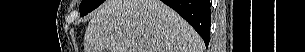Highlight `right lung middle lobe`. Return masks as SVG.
<instances>
[{"label":"right lung middle lobe","instance_id":"right-lung-middle-lobe-1","mask_svg":"<svg viewBox=\"0 0 305 52\" xmlns=\"http://www.w3.org/2000/svg\"><path fill=\"white\" fill-rule=\"evenodd\" d=\"M104 0H83L80 4V16H85L97 8Z\"/></svg>","mask_w":305,"mask_h":52}]
</instances>
